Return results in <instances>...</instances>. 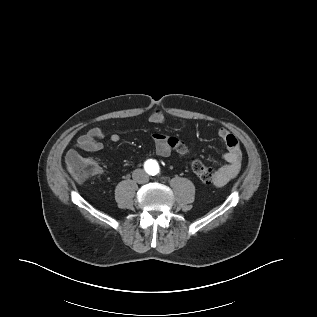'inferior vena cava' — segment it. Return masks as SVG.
Listing matches in <instances>:
<instances>
[{"label":"inferior vena cava","instance_id":"602c4592","mask_svg":"<svg viewBox=\"0 0 317 317\" xmlns=\"http://www.w3.org/2000/svg\"><path fill=\"white\" fill-rule=\"evenodd\" d=\"M132 177L134 181H136L139 184H144L149 181V176L145 173L142 169H136L132 173Z\"/></svg>","mask_w":317,"mask_h":317}]
</instances>
